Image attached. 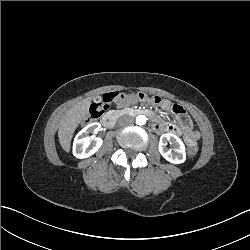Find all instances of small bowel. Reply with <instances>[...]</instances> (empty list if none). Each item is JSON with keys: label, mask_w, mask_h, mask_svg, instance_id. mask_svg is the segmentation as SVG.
<instances>
[{"label": "small bowel", "mask_w": 250, "mask_h": 250, "mask_svg": "<svg viewBox=\"0 0 250 250\" xmlns=\"http://www.w3.org/2000/svg\"><path fill=\"white\" fill-rule=\"evenodd\" d=\"M135 95L136 94L127 95L126 99L123 102H120L118 104L123 105V104H126V103L135 102L137 100L136 97H135ZM161 106L165 110L172 109V105H171V102L169 100H162L161 101ZM189 126H190V121H189L188 126L186 127L188 139H192V140L196 141L198 139V133L192 131L191 129H189ZM154 127H155L156 130H163L165 128H168V129L173 130V131L180 130V128L177 125H175V124H169V125L156 124Z\"/></svg>", "instance_id": "1"}]
</instances>
